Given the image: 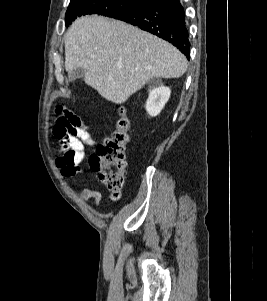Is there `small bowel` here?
Masks as SVG:
<instances>
[{"instance_id": "small-bowel-1", "label": "small bowel", "mask_w": 267, "mask_h": 301, "mask_svg": "<svg viewBox=\"0 0 267 301\" xmlns=\"http://www.w3.org/2000/svg\"><path fill=\"white\" fill-rule=\"evenodd\" d=\"M58 119L53 127V135L60 143L62 154L56 164L64 178H70L82 171L80 163L85 156V146H94L96 141L91 136V128L84 124L73 112L56 106ZM82 200H92L94 207H99L102 199L101 192L84 189L80 192Z\"/></svg>"}]
</instances>
